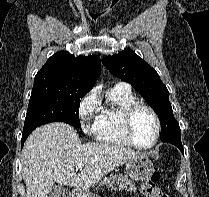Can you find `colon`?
Masks as SVG:
<instances>
[{
	"label": "colon",
	"mask_w": 209,
	"mask_h": 197,
	"mask_svg": "<svg viewBox=\"0 0 209 197\" xmlns=\"http://www.w3.org/2000/svg\"><path fill=\"white\" fill-rule=\"evenodd\" d=\"M159 179L160 173L155 171L151 178L142 184L141 191L144 197H168L159 189ZM58 197H71V195L67 191H63Z\"/></svg>",
	"instance_id": "5ec220e1"
}]
</instances>
